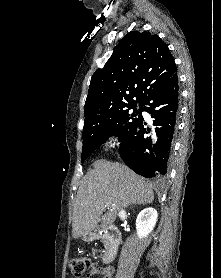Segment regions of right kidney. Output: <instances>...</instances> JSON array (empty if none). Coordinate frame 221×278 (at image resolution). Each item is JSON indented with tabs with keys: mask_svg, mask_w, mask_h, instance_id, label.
I'll return each mask as SVG.
<instances>
[{
	"mask_svg": "<svg viewBox=\"0 0 221 278\" xmlns=\"http://www.w3.org/2000/svg\"><path fill=\"white\" fill-rule=\"evenodd\" d=\"M158 218L156 209L149 207L142 210L136 219V230L139 239L147 237L153 230Z\"/></svg>",
	"mask_w": 221,
	"mask_h": 278,
	"instance_id": "1",
	"label": "right kidney"
}]
</instances>
